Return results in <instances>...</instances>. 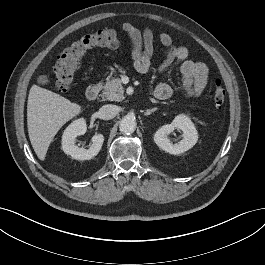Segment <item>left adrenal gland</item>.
<instances>
[{"label":"left adrenal gland","instance_id":"a2214340","mask_svg":"<svg viewBox=\"0 0 265 265\" xmlns=\"http://www.w3.org/2000/svg\"><path fill=\"white\" fill-rule=\"evenodd\" d=\"M157 110V108H153V109H147L146 111H144V115L148 116L150 115L152 112H155Z\"/></svg>","mask_w":265,"mask_h":265}]
</instances>
